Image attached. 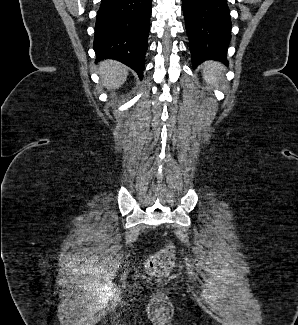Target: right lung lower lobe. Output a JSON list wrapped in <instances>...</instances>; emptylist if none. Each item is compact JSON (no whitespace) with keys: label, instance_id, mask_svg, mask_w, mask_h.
<instances>
[{"label":"right lung lower lobe","instance_id":"right-lung-lower-lobe-1","mask_svg":"<svg viewBox=\"0 0 298 325\" xmlns=\"http://www.w3.org/2000/svg\"><path fill=\"white\" fill-rule=\"evenodd\" d=\"M152 0H101L93 48L96 62L115 59L141 78L148 48Z\"/></svg>","mask_w":298,"mask_h":325}]
</instances>
